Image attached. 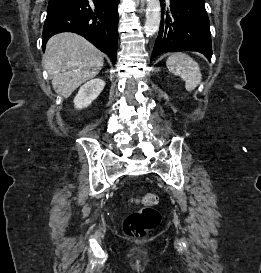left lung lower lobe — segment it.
Masks as SVG:
<instances>
[{
  "mask_svg": "<svg viewBox=\"0 0 261 273\" xmlns=\"http://www.w3.org/2000/svg\"><path fill=\"white\" fill-rule=\"evenodd\" d=\"M162 0L161 24L151 61L164 52L197 51L211 60V33L204 0Z\"/></svg>",
  "mask_w": 261,
  "mask_h": 273,
  "instance_id": "obj_1",
  "label": "left lung lower lobe"
}]
</instances>
